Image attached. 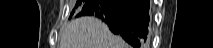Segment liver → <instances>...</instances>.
I'll use <instances>...</instances> for the list:
<instances>
[{
	"label": "liver",
	"mask_w": 213,
	"mask_h": 48,
	"mask_svg": "<svg viewBox=\"0 0 213 48\" xmlns=\"http://www.w3.org/2000/svg\"><path fill=\"white\" fill-rule=\"evenodd\" d=\"M60 48H128V45L121 37L113 35L101 20L86 16L66 25Z\"/></svg>",
	"instance_id": "liver-1"
}]
</instances>
